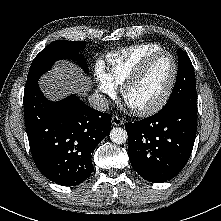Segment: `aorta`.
<instances>
[{"label": "aorta", "instance_id": "obj_1", "mask_svg": "<svg viewBox=\"0 0 221 221\" xmlns=\"http://www.w3.org/2000/svg\"><path fill=\"white\" fill-rule=\"evenodd\" d=\"M110 139L116 144H123L127 141L128 136L126 130L123 128H113L110 132Z\"/></svg>", "mask_w": 221, "mask_h": 221}]
</instances>
